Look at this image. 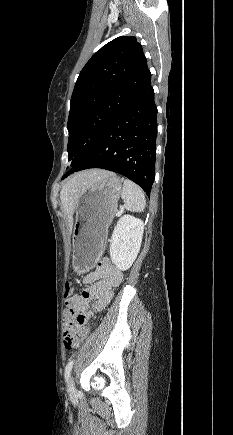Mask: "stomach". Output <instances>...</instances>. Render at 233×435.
<instances>
[{"label":"stomach","mask_w":233,"mask_h":435,"mask_svg":"<svg viewBox=\"0 0 233 435\" xmlns=\"http://www.w3.org/2000/svg\"><path fill=\"white\" fill-rule=\"evenodd\" d=\"M121 192L122 179L109 172L80 197L72 235V264L77 274L89 272L101 257Z\"/></svg>","instance_id":"stomach-1"}]
</instances>
